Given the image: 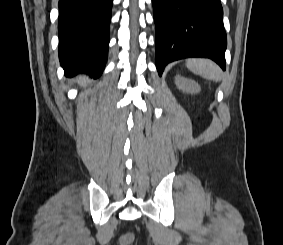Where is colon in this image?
<instances>
[{
  "label": "colon",
  "instance_id": "1",
  "mask_svg": "<svg viewBox=\"0 0 283 245\" xmlns=\"http://www.w3.org/2000/svg\"><path fill=\"white\" fill-rule=\"evenodd\" d=\"M135 235L133 233H126L119 239V245H130L134 242Z\"/></svg>",
  "mask_w": 283,
  "mask_h": 245
}]
</instances>
